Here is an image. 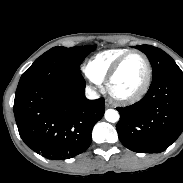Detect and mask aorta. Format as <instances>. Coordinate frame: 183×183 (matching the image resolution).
<instances>
[{
	"label": "aorta",
	"instance_id": "1",
	"mask_svg": "<svg viewBox=\"0 0 183 183\" xmlns=\"http://www.w3.org/2000/svg\"><path fill=\"white\" fill-rule=\"evenodd\" d=\"M120 115L118 113V111L114 110V109H108L105 111V119L108 122L111 123H116L119 121Z\"/></svg>",
	"mask_w": 183,
	"mask_h": 183
}]
</instances>
